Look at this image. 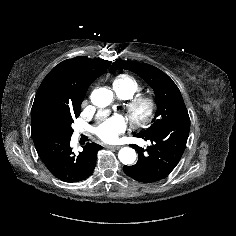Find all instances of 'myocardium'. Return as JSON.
I'll list each match as a JSON object with an SVG mask.
<instances>
[{
  "label": "myocardium",
  "instance_id": "obj_1",
  "mask_svg": "<svg viewBox=\"0 0 236 236\" xmlns=\"http://www.w3.org/2000/svg\"><path fill=\"white\" fill-rule=\"evenodd\" d=\"M157 109L156 100L149 95L131 97L126 103L129 119L135 126H144L149 123Z\"/></svg>",
  "mask_w": 236,
  "mask_h": 236
}]
</instances>
